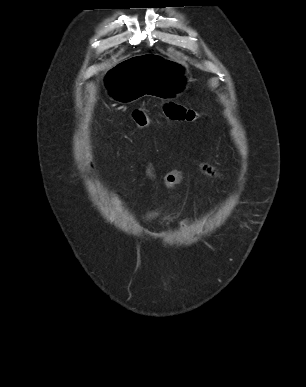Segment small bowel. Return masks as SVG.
Here are the masks:
<instances>
[{
    "label": "small bowel",
    "mask_w": 306,
    "mask_h": 387,
    "mask_svg": "<svg viewBox=\"0 0 306 387\" xmlns=\"http://www.w3.org/2000/svg\"><path fill=\"white\" fill-rule=\"evenodd\" d=\"M200 171L206 177H209V178L218 177L217 170L212 165H210L208 163H202L200 165ZM145 174H146L147 178L150 181H152L154 183V185H156L158 177H157V173H156V170H155V167L153 164L147 165V167L145 169ZM183 180H184V174L179 170H171L163 176L164 186L170 190H175L179 185H181ZM155 217H156L155 211H152V212H149L146 214L147 219H153ZM188 222H189L188 220H182V221H180L179 224L182 228H184L188 225Z\"/></svg>",
    "instance_id": "obj_1"
}]
</instances>
